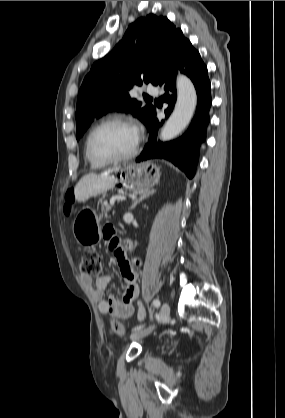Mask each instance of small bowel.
<instances>
[{
    "label": "small bowel",
    "mask_w": 285,
    "mask_h": 418,
    "mask_svg": "<svg viewBox=\"0 0 285 418\" xmlns=\"http://www.w3.org/2000/svg\"><path fill=\"white\" fill-rule=\"evenodd\" d=\"M105 245L115 255L118 248L126 247L128 249L133 247V242L129 239H120L113 228L106 230L104 235ZM117 264L119 272L125 280L126 291L121 300H117L114 296L105 297V288L111 281V276L103 275L92 283V293L95 300L98 302V310L103 315H116L121 319H128L134 314L133 299L139 296L138 268L140 266V259L133 257L131 259H118ZM83 282L90 283L88 279H83ZM138 317L140 320L146 318V311L141 302H138Z\"/></svg>",
    "instance_id": "obj_1"
}]
</instances>
